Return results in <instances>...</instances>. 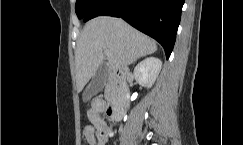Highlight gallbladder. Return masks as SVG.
I'll use <instances>...</instances> for the list:
<instances>
[{
	"label": "gallbladder",
	"instance_id": "1",
	"mask_svg": "<svg viewBox=\"0 0 243 145\" xmlns=\"http://www.w3.org/2000/svg\"><path fill=\"white\" fill-rule=\"evenodd\" d=\"M108 78V69L107 65L105 63H102L96 73L94 74L91 82L85 89L83 93V100L87 101L89 100L92 96L96 95L98 92H100Z\"/></svg>",
	"mask_w": 243,
	"mask_h": 145
}]
</instances>
